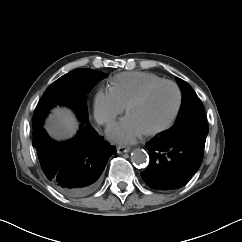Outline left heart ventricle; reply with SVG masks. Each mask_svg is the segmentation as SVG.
<instances>
[{"label": "left heart ventricle", "mask_w": 242, "mask_h": 242, "mask_svg": "<svg viewBox=\"0 0 242 242\" xmlns=\"http://www.w3.org/2000/svg\"><path fill=\"white\" fill-rule=\"evenodd\" d=\"M176 102L175 88L164 84L154 89L143 102L134 106L129 116L143 132L153 130L164 125L170 119Z\"/></svg>", "instance_id": "left-heart-ventricle-1"}]
</instances>
